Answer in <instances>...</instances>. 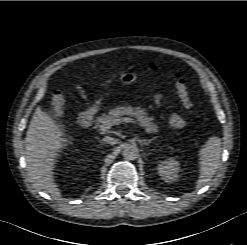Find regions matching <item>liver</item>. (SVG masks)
<instances>
[{
	"label": "liver",
	"mask_w": 247,
	"mask_h": 245,
	"mask_svg": "<svg viewBox=\"0 0 247 245\" xmlns=\"http://www.w3.org/2000/svg\"><path fill=\"white\" fill-rule=\"evenodd\" d=\"M71 142L64 128L46 112L37 108L29 124L26 139V164L33 185L56 197L60 191L54 182L53 170L58 153Z\"/></svg>",
	"instance_id": "liver-1"
}]
</instances>
